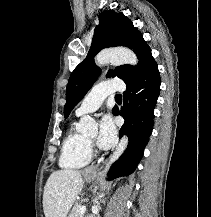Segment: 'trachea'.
<instances>
[{
  "label": "trachea",
  "instance_id": "3493384b",
  "mask_svg": "<svg viewBox=\"0 0 211 217\" xmlns=\"http://www.w3.org/2000/svg\"><path fill=\"white\" fill-rule=\"evenodd\" d=\"M116 98H120V97H122L120 94H117L116 96H115Z\"/></svg>",
  "mask_w": 211,
  "mask_h": 217
}]
</instances>
